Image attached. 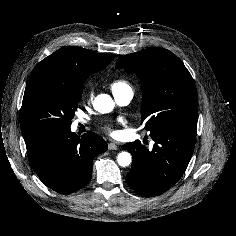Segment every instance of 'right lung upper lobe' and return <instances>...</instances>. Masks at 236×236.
Listing matches in <instances>:
<instances>
[{"label": "right lung upper lobe", "mask_w": 236, "mask_h": 236, "mask_svg": "<svg viewBox=\"0 0 236 236\" xmlns=\"http://www.w3.org/2000/svg\"><path fill=\"white\" fill-rule=\"evenodd\" d=\"M114 54H100L75 46L62 47L36 65L30 77L46 76L63 81H81L105 68Z\"/></svg>", "instance_id": "1"}]
</instances>
